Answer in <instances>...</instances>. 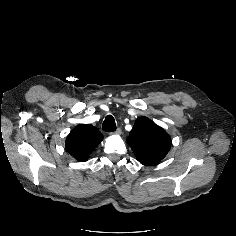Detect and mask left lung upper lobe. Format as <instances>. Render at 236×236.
I'll use <instances>...</instances> for the list:
<instances>
[{
  "label": "left lung upper lobe",
  "mask_w": 236,
  "mask_h": 236,
  "mask_svg": "<svg viewBox=\"0 0 236 236\" xmlns=\"http://www.w3.org/2000/svg\"><path fill=\"white\" fill-rule=\"evenodd\" d=\"M127 142L143 165L160 162L171 147V139L166 131L147 117L136 120Z\"/></svg>",
  "instance_id": "5c2ea615"
}]
</instances>
